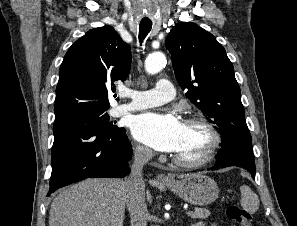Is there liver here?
<instances>
[{"mask_svg":"<svg viewBox=\"0 0 297 226\" xmlns=\"http://www.w3.org/2000/svg\"><path fill=\"white\" fill-rule=\"evenodd\" d=\"M146 197L151 203L149 191ZM125 203L122 179H87L53 200L49 226H123Z\"/></svg>","mask_w":297,"mask_h":226,"instance_id":"liver-1","label":"liver"}]
</instances>
